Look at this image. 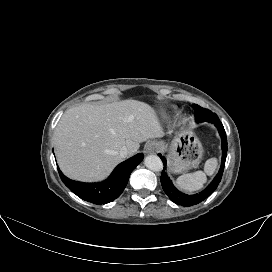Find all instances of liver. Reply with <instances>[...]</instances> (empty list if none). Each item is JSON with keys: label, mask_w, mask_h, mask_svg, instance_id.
<instances>
[{"label": "liver", "mask_w": 272, "mask_h": 272, "mask_svg": "<svg viewBox=\"0 0 272 272\" xmlns=\"http://www.w3.org/2000/svg\"><path fill=\"white\" fill-rule=\"evenodd\" d=\"M163 134L153 107L127 99L68 109L57 124L53 143L59 167L66 176L95 182L107 177L121 162L122 147L132 155L141 142Z\"/></svg>", "instance_id": "liver-1"}]
</instances>
